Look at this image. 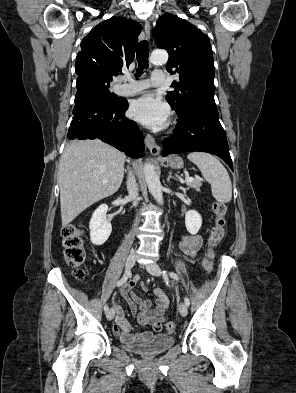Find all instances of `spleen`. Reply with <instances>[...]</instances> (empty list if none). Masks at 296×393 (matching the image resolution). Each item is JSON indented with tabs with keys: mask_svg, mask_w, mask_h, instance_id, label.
Listing matches in <instances>:
<instances>
[{
	"mask_svg": "<svg viewBox=\"0 0 296 393\" xmlns=\"http://www.w3.org/2000/svg\"><path fill=\"white\" fill-rule=\"evenodd\" d=\"M187 158L201 171L211 184L213 197L221 203H228L232 198V183L222 163L213 155L204 152H192Z\"/></svg>",
	"mask_w": 296,
	"mask_h": 393,
	"instance_id": "1",
	"label": "spleen"
}]
</instances>
